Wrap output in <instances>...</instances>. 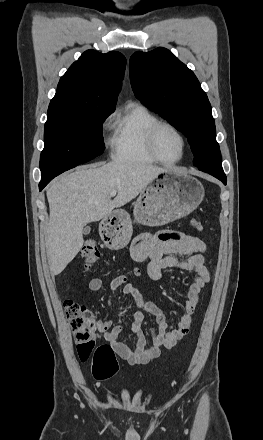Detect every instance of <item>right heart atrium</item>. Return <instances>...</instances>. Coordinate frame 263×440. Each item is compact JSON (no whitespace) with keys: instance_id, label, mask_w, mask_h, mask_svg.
<instances>
[{"instance_id":"1","label":"right heart atrium","mask_w":263,"mask_h":440,"mask_svg":"<svg viewBox=\"0 0 263 440\" xmlns=\"http://www.w3.org/2000/svg\"><path fill=\"white\" fill-rule=\"evenodd\" d=\"M110 119H111V116H109V117L106 119V121H105V123H104L105 126H108Z\"/></svg>"}]
</instances>
